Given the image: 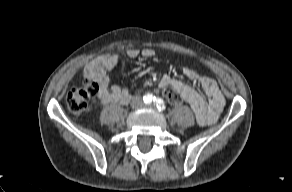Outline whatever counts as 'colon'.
<instances>
[{"mask_svg": "<svg viewBox=\"0 0 292 192\" xmlns=\"http://www.w3.org/2000/svg\"><path fill=\"white\" fill-rule=\"evenodd\" d=\"M99 92L100 84L95 80H86L81 87L72 88L66 96L68 111L72 115H80L87 109L89 100L98 97ZM164 94L172 104L181 103L182 99L175 92L165 90Z\"/></svg>", "mask_w": 292, "mask_h": 192, "instance_id": "obj_1", "label": "colon"}]
</instances>
